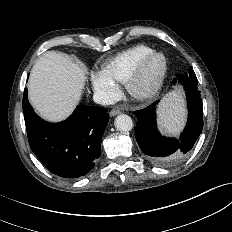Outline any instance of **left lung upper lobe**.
Here are the masks:
<instances>
[{"label":"left lung upper lobe","mask_w":232,"mask_h":232,"mask_svg":"<svg viewBox=\"0 0 232 232\" xmlns=\"http://www.w3.org/2000/svg\"><path fill=\"white\" fill-rule=\"evenodd\" d=\"M185 79H196V75L194 73V70L192 68H190L188 70V73H185L184 75H182ZM197 80V79H196Z\"/></svg>","instance_id":"left-lung-upper-lobe-1"}]
</instances>
